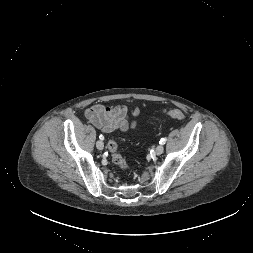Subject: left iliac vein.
Returning a JSON list of instances; mask_svg holds the SVG:
<instances>
[{"mask_svg":"<svg viewBox=\"0 0 253 253\" xmlns=\"http://www.w3.org/2000/svg\"><path fill=\"white\" fill-rule=\"evenodd\" d=\"M163 151H164V146H163L162 144H160V145H158V146L156 147L155 153H156L157 155H161V154L163 153Z\"/></svg>","mask_w":253,"mask_h":253,"instance_id":"1","label":"left iliac vein"}]
</instances>
